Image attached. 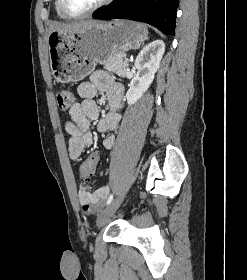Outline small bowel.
Listing matches in <instances>:
<instances>
[{
	"mask_svg": "<svg viewBox=\"0 0 247 280\" xmlns=\"http://www.w3.org/2000/svg\"><path fill=\"white\" fill-rule=\"evenodd\" d=\"M98 92L106 94L109 109L100 118V108L94 100ZM77 93L82 98L75 102L69 110L70 120L65 129L70 136L68 141V153L72 160L80 158L84 149L93 143V136L89 131L90 123L97 120V130L100 133H108L117 129L120 122L119 109L122 103L123 88L116 83L113 77L105 71L94 72L89 81L82 82L77 87ZM115 136L107 134L102 142L104 149H112ZM109 193L108 186H102L94 192L81 190L79 202L87 214H93L102 205Z\"/></svg>",
	"mask_w": 247,
	"mask_h": 280,
	"instance_id": "small-bowel-1",
	"label": "small bowel"
}]
</instances>
